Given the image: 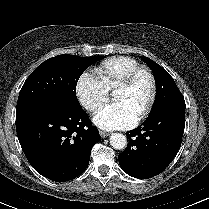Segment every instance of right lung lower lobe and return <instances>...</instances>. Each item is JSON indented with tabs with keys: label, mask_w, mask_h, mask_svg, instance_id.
I'll list each match as a JSON object with an SVG mask.
<instances>
[{
	"label": "right lung lower lobe",
	"mask_w": 209,
	"mask_h": 209,
	"mask_svg": "<svg viewBox=\"0 0 209 209\" xmlns=\"http://www.w3.org/2000/svg\"><path fill=\"white\" fill-rule=\"evenodd\" d=\"M16 131L31 166L56 182L78 177L101 140L80 104L48 100L16 114Z\"/></svg>",
	"instance_id": "obj_1"
}]
</instances>
